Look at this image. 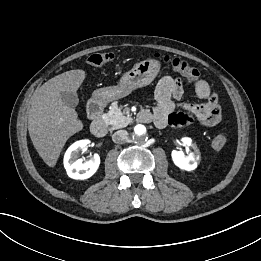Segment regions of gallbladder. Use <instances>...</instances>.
I'll return each mask as SVG.
<instances>
[{
  "mask_svg": "<svg viewBox=\"0 0 261 261\" xmlns=\"http://www.w3.org/2000/svg\"><path fill=\"white\" fill-rule=\"evenodd\" d=\"M60 97L66 106L72 108L76 107L79 103L78 95L75 92H61Z\"/></svg>",
  "mask_w": 261,
  "mask_h": 261,
  "instance_id": "1",
  "label": "gallbladder"
}]
</instances>
